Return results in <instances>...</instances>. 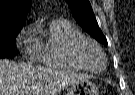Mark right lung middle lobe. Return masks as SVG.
<instances>
[{
	"label": "right lung middle lobe",
	"instance_id": "obj_1",
	"mask_svg": "<svg viewBox=\"0 0 135 95\" xmlns=\"http://www.w3.org/2000/svg\"><path fill=\"white\" fill-rule=\"evenodd\" d=\"M19 32L20 31H13L0 36V59L15 56L13 44Z\"/></svg>",
	"mask_w": 135,
	"mask_h": 95
}]
</instances>
